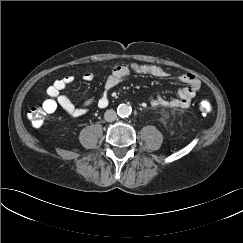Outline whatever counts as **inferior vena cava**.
<instances>
[{
  "label": "inferior vena cava",
  "mask_w": 243,
  "mask_h": 243,
  "mask_svg": "<svg viewBox=\"0 0 243 243\" xmlns=\"http://www.w3.org/2000/svg\"><path fill=\"white\" fill-rule=\"evenodd\" d=\"M117 118V114L116 112L113 110V109H110V110H107L105 113H104V119L107 121V122H113L115 121Z\"/></svg>",
  "instance_id": "1"
}]
</instances>
